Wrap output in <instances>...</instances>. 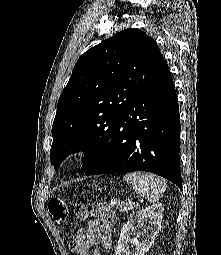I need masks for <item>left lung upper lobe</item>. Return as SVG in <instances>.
Instances as JSON below:
<instances>
[{
    "label": "left lung upper lobe",
    "mask_w": 221,
    "mask_h": 255,
    "mask_svg": "<svg viewBox=\"0 0 221 255\" xmlns=\"http://www.w3.org/2000/svg\"><path fill=\"white\" fill-rule=\"evenodd\" d=\"M165 61L156 42L129 28L86 51L60 95L52 126L55 170L82 150V172L105 148L124 110L154 81Z\"/></svg>",
    "instance_id": "1"
}]
</instances>
